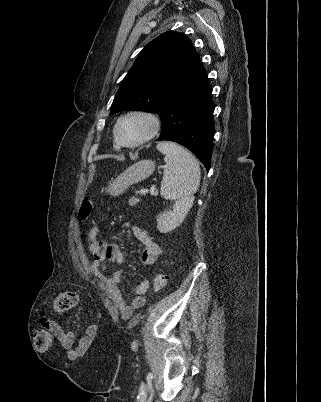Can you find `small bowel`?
I'll return each mask as SVG.
<instances>
[{
    "mask_svg": "<svg viewBox=\"0 0 321 402\" xmlns=\"http://www.w3.org/2000/svg\"><path fill=\"white\" fill-rule=\"evenodd\" d=\"M131 230L134 236L142 243L143 250L140 253V261L142 265L150 267L156 263L161 255L160 246L153 241L149 234L139 228L132 226ZM98 232V225L93 224L89 230V236L93 240L94 254L92 262V272L95 276L105 278L106 263L110 262L114 265H121L124 261V254L118 243L108 239L98 243L95 238ZM108 290L111 299L119 310L123 319H129L136 309L144 306V294L148 289L149 280L143 277L134 288V296L130 303L126 302L123 297L120 282L121 274L114 272L106 278ZM41 325L51 331L57 337L61 345L67 350L69 359L85 358L86 347L90 346L91 339L95 337L96 327L94 324H89L80 335V342L82 344H74L72 333L69 329L63 327L56 321L47 316L40 319Z\"/></svg>",
    "mask_w": 321,
    "mask_h": 402,
    "instance_id": "1",
    "label": "small bowel"
}]
</instances>
